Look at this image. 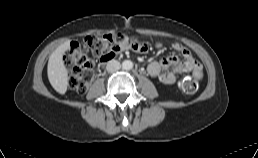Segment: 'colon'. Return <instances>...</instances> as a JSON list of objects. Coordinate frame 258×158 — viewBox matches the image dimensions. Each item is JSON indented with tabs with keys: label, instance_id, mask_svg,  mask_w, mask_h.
<instances>
[{
	"label": "colon",
	"instance_id": "colon-1",
	"mask_svg": "<svg viewBox=\"0 0 258 158\" xmlns=\"http://www.w3.org/2000/svg\"><path fill=\"white\" fill-rule=\"evenodd\" d=\"M139 45L137 38L124 34L89 35L83 45L72 43L64 54V62L70 69L69 84L76 92L83 94L94 77L93 63L88 56L90 51L101 61L114 57L118 52ZM199 83L195 77H185L180 88L187 94L198 90Z\"/></svg>",
	"mask_w": 258,
	"mask_h": 158
}]
</instances>
